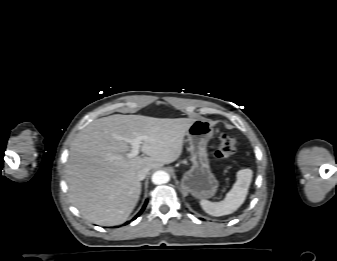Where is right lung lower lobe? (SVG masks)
Masks as SVG:
<instances>
[{"label":"right lung lower lobe","mask_w":337,"mask_h":261,"mask_svg":"<svg viewBox=\"0 0 337 261\" xmlns=\"http://www.w3.org/2000/svg\"><path fill=\"white\" fill-rule=\"evenodd\" d=\"M146 205H147V200L145 201V204L143 205V207H142V209L140 210V212L134 217V219H136V217H138V216L144 211ZM127 223H128V222H127Z\"/></svg>","instance_id":"obj_1"}]
</instances>
